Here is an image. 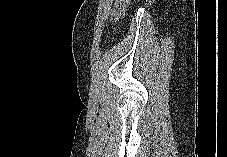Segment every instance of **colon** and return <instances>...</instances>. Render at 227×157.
I'll return each mask as SVG.
<instances>
[{"instance_id": "colon-1", "label": "colon", "mask_w": 227, "mask_h": 157, "mask_svg": "<svg viewBox=\"0 0 227 157\" xmlns=\"http://www.w3.org/2000/svg\"><path fill=\"white\" fill-rule=\"evenodd\" d=\"M130 0H117L112 22H116L125 12Z\"/></svg>"}]
</instances>
